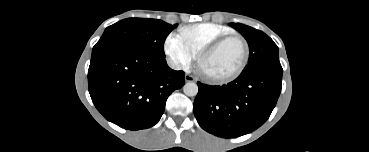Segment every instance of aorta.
I'll return each instance as SVG.
<instances>
[{
	"instance_id": "1",
	"label": "aorta",
	"mask_w": 369,
	"mask_h": 152,
	"mask_svg": "<svg viewBox=\"0 0 369 152\" xmlns=\"http://www.w3.org/2000/svg\"><path fill=\"white\" fill-rule=\"evenodd\" d=\"M183 92L185 95L190 96V97L196 96L198 93V86L194 82H187L183 86Z\"/></svg>"
}]
</instances>
